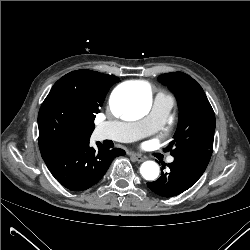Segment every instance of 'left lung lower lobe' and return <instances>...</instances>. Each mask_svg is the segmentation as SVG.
I'll list each match as a JSON object with an SVG mask.
<instances>
[{
    "mask_svg": "<svg viewBox=\"0 0 250 250\" xmlns=\"http://www.w3.org/2000/svg\"><path fill=\"white\" fill-rule=\"evenodd\" d=\"M211 155L212 150H195L174 156L175 160L167 164L169 171L164 173L162 170L161 177L154 182H148L147 186L160 196H177L201 177Z\"/></svg>",
    "mask_w": 250,
    "mask_h": 250,
    "instance_id": "0a47b994",
    "label": "left lung lower lobe"
}]
</instances>
